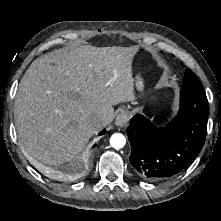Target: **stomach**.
Segmentation results:
<instances>
[{"instance_id":"0dacf381","label":"stomach","mask_w":221,"mask_h":221,"mask_svg":"<svg viewBox=\"0 0 221 221\" xmlns=\"http://www.w3.org/2000/svg\"><path fill=\"white\" fill-rule=\"evenodd\" d=\"M135 87H136L137 91H139V92H142L144 89V81L140 75L136 76Z\"/></svg>"}]
</instances>
